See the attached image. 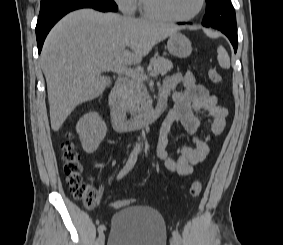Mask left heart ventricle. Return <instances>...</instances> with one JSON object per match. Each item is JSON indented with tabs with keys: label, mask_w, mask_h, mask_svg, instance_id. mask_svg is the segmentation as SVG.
Instances as JSON below:
<instances>
[{
	"label": "left heart ventricle",
	"mask_w": 283,
	"mask_h": 245,
	"mask_svg": "<svg viewBox=\"0 0 283 245\" xmlns=\"http://www.w3.org/2000/svg\"><path fill=\"white\" fill-rule=\"evenodd\" d=\"M151 8L171 17H184L192 14L200 0H147Z\"/></svg>",
	"instance_id": "b2bd125f"
}]
</instances>
